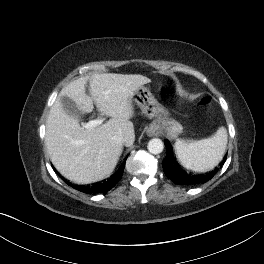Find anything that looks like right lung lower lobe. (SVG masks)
Segmentation results:
<instances>
[{
    "instance_id": "98d812e1",
    "label": "right lung lower lobe",
    "mask_w": 264,
    "mask_h": 264,
    "mask_svg": "<svg viewBox=\"0 0 264 264\" xmlns=\"http://www.w3.org/2000/svg\"><path fill=\"white\" fill-rule=\"evenodd\" d=\"M125 161L120 167V169L117 172H115V174H113L109 179L104 181L103 183H96L92 186H73V187L84 193L107 192L111 188H113L117 184V182L121 179L123 171H124V167H125Z\"/></svg>"
}]
</instances>
